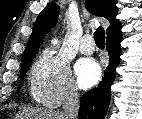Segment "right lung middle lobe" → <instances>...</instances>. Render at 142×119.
I'll return each instance as SVG.
<instances>
[{
  "label": "right lung middle lobe",
  "instance_id": "obj_1",
  "mask_svg": "<svg viewBox=\"0 0 142 119\" xmlns=\"http://www.w3.org/2000/svg\"><path fill=\"white\" fill-rule=\"evenodd\" d=\"M31 60L27 61L26 63H24L21 67V78H23L28 70L29 64H30Z\"/></svg>",
  "mask_w": 142,
  "mask_h": 119
}]
</instances>
